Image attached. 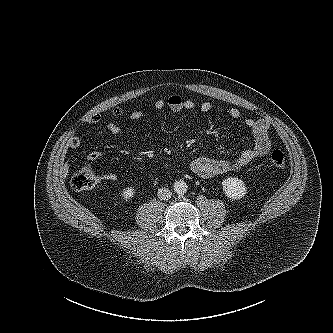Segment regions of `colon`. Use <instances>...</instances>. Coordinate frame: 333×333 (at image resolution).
Masks as SVG:
<instances>
[{
    "mask_svg": "<svg viewBox=\"0 0 333 333\" xmlns=\"http://www.w3.org/2000/svg\"><path fill=\"white\" fill-rule=\"evenodd\" d=\"M270 165L276 169H284L286 167V158L282 151L274 150L270 154ZM100 179L89 167H83L76 171L70 178L69 184L73 190L82 191L93 189L98 186Z\"/></svg>",
    "mask_w": 333,
    "mask_h": 333,
    "instance_id": "colon-1",
    "label": "colon"
}]
</instances>
